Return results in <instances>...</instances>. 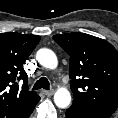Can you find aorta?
Here are the masks:
<instances>
[{"label": "aorta", "mask_w": 118, "mask_h": 118, "mask_svg": "<svg viewBox=\"0 0 118 118\" xmlns=\"http://www.w3.org/2000/svg\"><path fill=\"white\" fill-rule=\"evenodd\" d=\"M36 59L40 65L48 69H55L58 65L56 54L47 48H42L37 52ZM54 102L59 108H67L71 103V94L68 89L58 88L54 94Z\"/></svg>", "instance_id": "762f6f07"}]
</instances>
